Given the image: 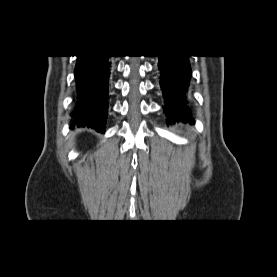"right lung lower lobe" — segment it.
<instances>
[{
  "instance_id": "obj_1",
  "label": "right lung lower lobe",
  "mask_w": 277,
  "mask_h": 277,
  "mask_svg": "<svg viewBox=\"0 0 277 277\" xmlns=\"http://www.w3.org/2000/svg\"><path fill=\"white\" fill-rule=\"evenodd\" d=\"M75 79L77 86L76 106L71 114V128L91 127L105 132L108 111L107 94L112 73L110 56H77Z\"/></svg>"
}]
</instances>
